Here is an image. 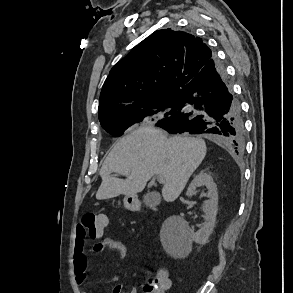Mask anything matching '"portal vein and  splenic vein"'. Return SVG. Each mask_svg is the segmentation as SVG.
<instances>
[{"mask_svg":"<svg viewBox=\"0 0 293 293\" xmlns=\"http://www.w3.org/2000/svg\"><path fill=\"white\" fill-rule=\"evenodd\" d=\"M157 180L159 183H164V178L161 175H157Z\"/></svg>","mask_w":293,"mask_h":293,"instance_id":"1","label":"portal vein and splenic vein"}]
</instances>
